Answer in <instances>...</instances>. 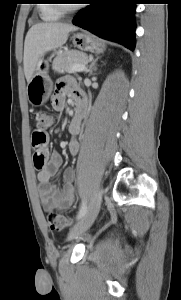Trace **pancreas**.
Masks as SVG:
<instances>
[{"mask_svg": "<svg viewBox=\"0 0 181 300\" xmlns=\"http://www.w3.org/2000/svg\"><path fill=\"white\" fill-rule=\"evenodd\" d=\"M87 55L76 50L63 51L53 60L52 68L58 73H71L75 64H85Z\"/></svg>", "mask_w": 181, "mask_h": 300, "instance_id": "obj_1", "label": "pancreas"}]
</instances>
